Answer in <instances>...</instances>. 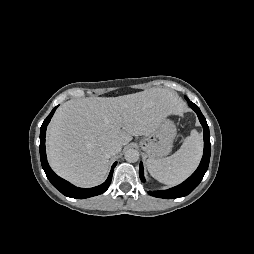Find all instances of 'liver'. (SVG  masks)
<instances>
[{
    "instance_id": "obj_1",
    "label": "liver",
    "mask_w": 254,
    "mask_h": 254,
    "mask_svg": "<svg viewBox=\"0 0 254 254\" xmlns=\"http://www.w3.org/2000/svg\"><path fill=\"white\" fill-rule=\"evenodd\" d=\"M182 106L174 91L163 88L118 97L71 99L58 108L49 124V163L59 176L79 187L97 186L108 172L106 149L110 144L124 146L132 136L153 133Z\"/></svg>"
}]
</instances>
